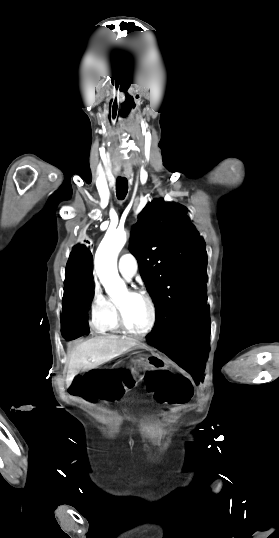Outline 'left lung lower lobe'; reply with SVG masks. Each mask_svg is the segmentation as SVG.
Returning a JSON list of instances; mask_svg holds the SVG:
<instances>
[{"label": "left lung lower lobe", "instance_id": "left-lung-lower-lobe-1", "mask_svg": "<svg viewBox=\"0 0 279 538\" xmlns=\"http://www.w3.org/2000/svg\"><path fill=\"white\" fill-rule=\"evenodd\" d=\"M210 336L209 306L203 305L168 336H149L148 343L185 368L199 382L205 369Z\"/></svg>", "mask_w": 279, "mask_h": 538}]
</instances>
